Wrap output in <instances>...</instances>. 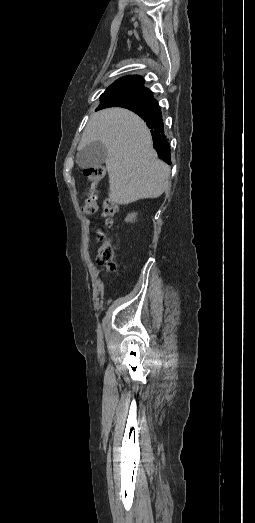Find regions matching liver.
Instances as JSON below:
<instances>
[{"label": "liver", "mask_w": 255, "mask_h": 523, "mask_svg": "<svg viewBox=\"0 0 255 523\" xmlns=\"http://www.w3.org/2000/svg\"><path fill=\"white\" fill-rule=\"evenodd\" d=\"M103 142L108 150L110 200L131 204L159 198L168 186L170 166L159 160L145 122L124 108H108L91 116L77 150Z\"/></svg>", "instance_id": "1"}]
</instances>
